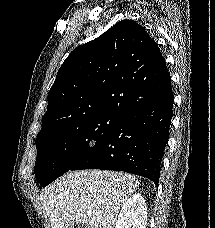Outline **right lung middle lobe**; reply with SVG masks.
<instances>
[{"instance_id": "obj_1", "label": "right lung middle lobe", "mask_w": 215, "mask_h": 228, "mask_svg": "<svg viewBox=\"0 0 215 228\" xmlns=\"http://www.w3.org/2000/svg\"><path fill=\"white\" fill-rule=\"evenodd\" d=\"M116 114H100L91 118L50 127L40 131L36 139V180L47 186L69 171L122 120Z\"/></svg>"}]
</instances>
